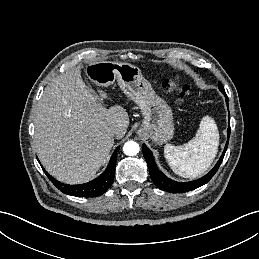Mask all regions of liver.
Masks as SVG:
<instances>
[{"mask_svg": "<svg viewBox=\"0 0 259 259\" xmlns=\"http://www.w3.org/2000/svg\"><path fill=\"white\" fill-rule=\"evenodd\" d=\"M34 125L35 147L45 169L61 182L79 184L92 179L105 163L114 145L110 129L119 127L116 138L121 139L129 116L119 105L104 108L75 68L45 88Z\"/></svg>", "mask_w": 259, "mask_h": 259, "instance_id": "6515ba94", "label": "liver"}]
</instances>
